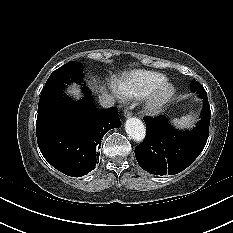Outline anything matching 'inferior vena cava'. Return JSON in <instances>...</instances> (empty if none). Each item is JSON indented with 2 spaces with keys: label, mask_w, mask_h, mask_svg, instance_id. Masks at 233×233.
Returning <instances> with one entry per match:
<instances>
[{
  "label": "inferior vena cava",
  "mask_w": 233,
  "mask_h": 233,
  "mask_svg": "<svg viewBox=\"0 0 233 233\" xmlns=\"http://www.w3.org/2000/svg\"><path fill=\"white\" fill-rule=\"evenodd\" d=\"M99 103L103 108H110L114 106V97L110 94L103 93L99 95Z\"/></svg>",
  "instance_id": "obj_1"
}]
</instances>
